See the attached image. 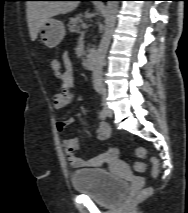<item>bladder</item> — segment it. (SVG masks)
<instances>
[{
  "label": "bladder",
  "instance_id": "bladder-1",
  "mask_svg": "<svg viewBox=\"0 0 188 213\" xmlns=\"http://www.w3.org/2000/svg\"><path fill=\"white\" fill-rule=\"evenodd\" d=\"M73 187L90 196L104 206L115 204L128 190V182L114 177L99 168L74 171L71 175Z\"/></svg>",
  "mask_w": 188,
  "mask_h": 213
}]
</instances>
